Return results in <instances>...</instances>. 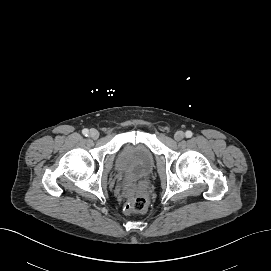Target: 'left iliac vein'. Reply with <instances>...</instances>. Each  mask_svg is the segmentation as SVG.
Listing matches in <instances>:
<instances>
[{"mask_svg":"<svg viewBox=\"0 0 271 271\" xmlns=\"http://www.w3.org/2000/svg\"><path fill=\"white\" fill-rule=\"evenodd\" d=\"M184 132L182 131H177L175 134H174V139L176 141H181L183 138H184Z\"/></svg>","mask_w":271,"mask_h":271,"instance_id":"4c4485c4","label":"left iliac vein"}]
</instances>
